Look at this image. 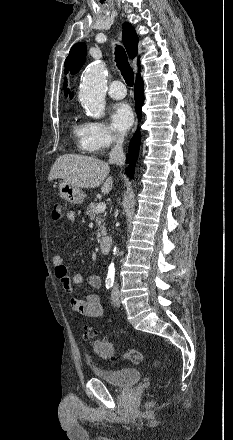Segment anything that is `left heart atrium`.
Returning a JSON list of instances; mask_svg holds the SVG:
<instances>
[{"label": "left heart atrium", "mask_w": 233, "mask_h": 440, "mask_svg": "<svg viewBox=\"0 0 233 440\" xmlns=\"http://www.w3.org/2000/svg\"><path fill=\"white\" fill-rule=\"evenodd\" d=\"M110 117L113 126L121 132L127 131L134 121L132 109L126 103L113 105Z\"/></svg>", "instance_id": "left-heart-atrium-1"}]
</instances>
